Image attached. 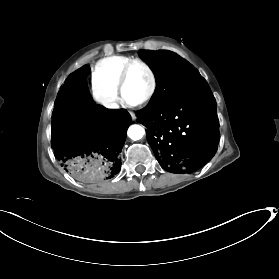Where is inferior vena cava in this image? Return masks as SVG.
I'll return each instance as SVG.
<instances>
[{"instance_id":"inferior-vena-cava-1","label":"inferior vena cava","mask_w":279,"mask_h":279,"mask_svg":"<svg viewBox=\"0 0 279 279\" xmlns=\"http://www.w3.org/2000/svg\"><path fill=\"white\" fill-rule=\"evenodd\" d=\"M114 101H115V99L110 98V99L106 100L104 106L107 108H119V106Z\"/></svg>"}]
</instances>
